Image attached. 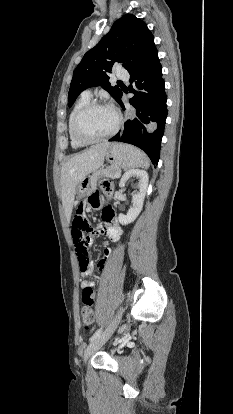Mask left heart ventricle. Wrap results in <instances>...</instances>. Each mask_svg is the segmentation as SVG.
Masks as SVG:
<instances>
[{"mask_svg":"<svg viewBox=\"0 0 233 414\" xmlns=\"http://www.w3.org/2000/svg\"><path fill=\"white\" fill-rule=\"evenodd\" d=\"M116 122L114 112L108 108H94L88 111L80 120L81 135L96 138L109 133Z\"/></svg>","mask_w":233,"mask_h":414,"instance_id":"obj_1","label":"left heart ventricle"}]
</instances>
